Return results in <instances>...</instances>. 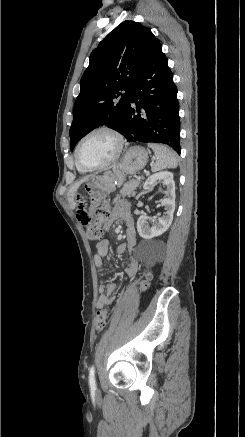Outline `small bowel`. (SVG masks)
<instances>
[{
    "label": "small bowel",
    "mask_w": 245,
    "mask_h": 437,
    "mask_svg": "<svg viewBox=\"0 0 245 437\" xmlns=\"http://www.w3.org/2000/svg\"><path fill=\"white\" fill-rule=\"evenodd\" d=\"M85 204L83 201L80 203ZM78 224H88L90 222V214L88 208H77L76 210ZM117 219H124L126 222V242L118 246L117 252L119 254L128 253L131 255L127 267L124 269L125 279L136 275L139 267L138 259L132 255L136 244V231L134 221L130 216L129 204L125 201L120 202L113 210L110 219L105 223V229H108L111 223ZM108 240H101L96 245V252L94 255V264L100 268L103 266V257L108 253ZM115 284H108L99 289V297L97 300V307L101 308L110 303L113 293L115 291Z\"/></svg>",
    "instance_id": "obj_1"
}]
</instances>
